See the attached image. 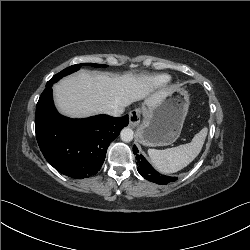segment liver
<instances>
[{
  "mask_svg": "<svg viewBox=\"0 0 250 250\" xmlns=\"http://www.w3.org/2000/svg\"><path fill=\"white\" fill-rule=\"evenodd\" d=\"M58 110L72 118H82L114 109H124L143 100L150 108L160 103L175 88L154 92L153 86L142 76L92 74L81 71L54 85Z\"/></svg>",
  "mask_w": 250,
  "mask_h": 250,
  "instance_id": "obj_1",
  "label": "liver"
}]
</instances>
